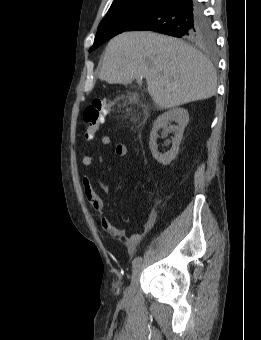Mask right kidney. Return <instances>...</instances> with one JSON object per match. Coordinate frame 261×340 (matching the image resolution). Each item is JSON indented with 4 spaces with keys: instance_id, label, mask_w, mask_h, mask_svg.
<instances>
[{
    "instance_id": "1",
    "label": "right kidney",
    "mask_w": 261,
    "mask_h": 340,
    "mask_svg": "<svg viewBox=\"0 0 261 340\" xmlns=\"http://www.w3.org/2000/svg\"><path fill=\"white\" fill-rule=\"evenodd\" d=\"M175 121L177 125H169V122ZM189 122L188 111L183 108H173L158 117L153 125L150 134V150L153 157L161 164L168 165L176 157L179 151V145L181 143L184 129ZM160 128H163L166 133H175V137L172 139V147L166 153H160L157 146V136Z\"/></svg>"
}]
</instances>
